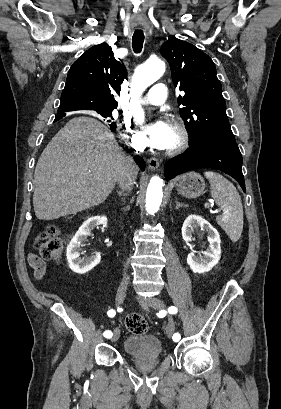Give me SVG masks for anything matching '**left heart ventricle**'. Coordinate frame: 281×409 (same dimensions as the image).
Returning <instances> with one entry per match:
<instances>
[{
    "label": "left heart ventricle",
    "mask_w": 281,
    "mask_h": 409,
    "mask_svg": "<svg viewBox=\"0 0 281 409\" xmlns=\"http://www.w3.org/2000/svg\"><path fill=\"white\" fill-rule=\"evenodd\" d=\"M177 141V135L170 129L169 138L164 149L172 147Z\"/></svg>",
    "instance_id": "left-heart-ventricle-1"
}]
</instances>
